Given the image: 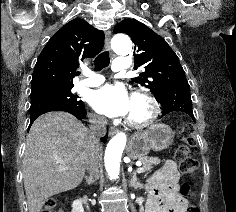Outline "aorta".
I'll return each mask as SVG.
<instances>
[{"label":"aorta","mask_w":236,"mask_h":212,"mask_svg":"<svg viewBox=\"0 0 236 212\" xmlns=\"http://www.w3.org/2000/svg\"><path fill=\"white\" fill-rule=\"evenodd\" d=\"M113 50L118 54H127L132 49V42L125 34H116L111 41ZM127 136L124 132L117 133L107 144L105 151V168L111 179H117L120 173V161L125 148Z\"/></svg>","instance_id":"762f6f07"}]
</instances>
